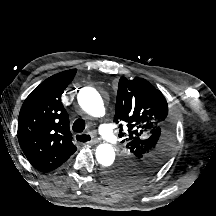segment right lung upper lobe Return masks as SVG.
Here are the masks:
<instances>
[{
    "label": "right lung upper lobe",
    "mask_w": 216,
    "mask_h": 216,
    "mask_svg": "<svg viewBox=\"0 0 216 216\" xmlns=\"http://www.w3.org/2000/svg\"><path fill=\"white\" fill-rule=\"evenodd\" d=\"M76 72L67 70L43 81L26 98L19 113V143L29 162L43 173L61 166L77 149L61 103V95Z\"/></svg>",
    "instance_id": "right-lung-upper-lobe-1"
}]
</instances>
